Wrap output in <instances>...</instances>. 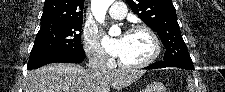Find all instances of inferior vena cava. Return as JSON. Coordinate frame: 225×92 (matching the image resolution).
Segmentation results:
<instances>
[{"label": "inferior vena cava", "mask_w": 225, "mask_h": 92, "mask_svg": "<svg viewBox=\"0 0 225 92\" xmlns=\"http://www.w3.org/2000/svg\"><path fill=\"white\" fill-rule=\"evenodd\" d=\"M88 70L92 72H106V57L100 51L89 52Z\"/></svg>", "instance_id": "obj_1"}]
</instances>
